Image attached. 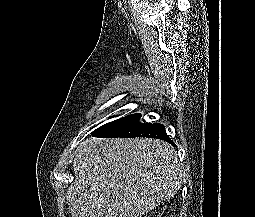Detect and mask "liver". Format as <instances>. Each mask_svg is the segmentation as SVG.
Masks as SVG:
<instances>
[{
    "label": "liver",
    "instance_id": "6515ba94",
    "mask_svg": "<svg viewBox=\"0 0 255 217\" xmlns=\"http://www.w3.org/2000/svg\"><path fill=\"white\" fill-rule=\"evenodd\" d=\"M66 201L72 217H142L176 194L181 164L168 143L90 138L77 147Z\"/></svg>",
    "mask_w": 255,
    "mask_h": 217
}]
</instances>
